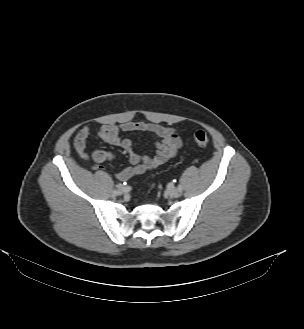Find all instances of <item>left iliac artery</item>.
Wrapping results in <instances>:
<instances>
[{"label": "left iliac artery", "instance_id": "left-iliac-artery-1", "mask_svg": "<svg viewBox=\"0 0 304 329\" xmlns=\"http://www.w3.org/2000/svg\"><path fill=\"white\" fill-rule=\"evenodd\" d=\"M178 189H179V191H182V186L178 185Z\"/></svg>", "mask_w": 304, "mask_h": 329}]
</instances>
